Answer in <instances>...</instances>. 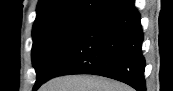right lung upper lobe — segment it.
Returning <instances> with one entry per match:
<instances>
[{
  "instance_id": "obj_1",
  "label": "right lung upper lobe",
  "mask_w": 173,
  "mask_h": 91,
  "mask_svg": "<svg viewBox=\"0 0 173 91\" xmlns=\"http://www.w3.org/2000/svg\"><path fill=\"white\" fill-rule=\"evenodd\" d=\"M117 0H39L34 25L72 18L89 19Z\"/></svg>"
}]
</instances>
